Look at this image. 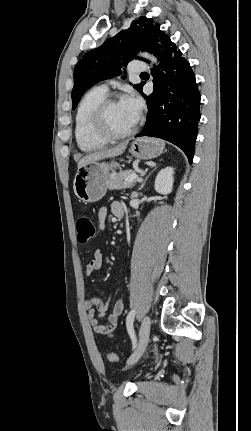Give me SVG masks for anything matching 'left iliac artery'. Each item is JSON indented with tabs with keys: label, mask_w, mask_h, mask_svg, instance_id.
I'll list each match as a JSON object with an SVG mask.
<instances>
[{
	"label": "left iliac artery",
	"mask_w": 251,
	"mask_h": 431,
	"mask_svg": "<svg viewBox=\"0 0 251 431\" xmlns=\"http://www.w3.org/2000/svg\"><path fill=\"white\" fill-rule=\"evenodd\" d=\"M134 317H135V310H131L126 317V326L133 343V348L136 347V341H137L134 333V328H133Z\"/></svg>",
	"instance_id": "left-iliac-artery-1"
}]
</instances>
